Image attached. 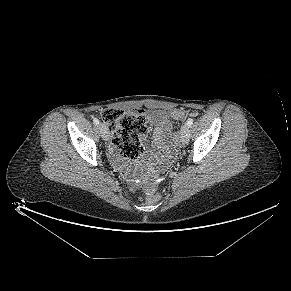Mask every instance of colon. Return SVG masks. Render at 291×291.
<instances>
[{
	"mask_svg": "<svg viewBox=\"0 0 291 291\" xmlns=\"http://www.w3.org/2000/svg\"><path fill=\"white\" fill-rule=\"evenodd\" d=\"M168 116L174 120H182L186 117V113L182 109H174L168 113ZM102 119L109 128L113 143L120 153L128 159H138L143 153L140 136L148 130L146 111L108 109L102 114ZM146 199L149 203L159 200V193L154 186L147 189Z\"/></svg>",
	"mask_w": 291,
	"mask_h": 291,
	"instance_id": "obj_1",
	"label": "colon"
}]
</instances>
